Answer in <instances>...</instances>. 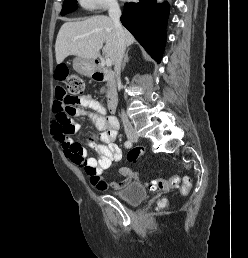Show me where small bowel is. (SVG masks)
<instances>
[{"instance_id": "c3829d8e", "label": "small bowel", "mask_w": 248, "mask_h": 258, "mask_svg": "<svg viewBox=\"0 0 248 258\" xmlns=\"http://www.w3.org/2000/svg\"><path fill=\"white\" fill-rule=\"evenodd\" d=\"M65 93L63 87L60 84L57 85V98ZM76 103L79 106L73 108L72 114L76 117H88L100 132L98 140L94 138L87 140V143L95 150L96 157H88L86 150L81 144L71 140L69 135L61 133L56 123L53 125L54 137L60 143L65 157L74 165L84 167L85 169H94L96 175L90 176L89 179L98 190L122 189L137 177L129 168L123 167L120 169V174L124 177L122 181L107 183L101 177L105 170L109 169L113 163L119 162L122 158V151L116 144L119 129L118 120L113 116H106L105 108L90 94L80 97ZM87 108L92 111L86 110ZM72 125L75 130L80 129L79 123L72 122Z\"/></svg>"}]
</instances>
